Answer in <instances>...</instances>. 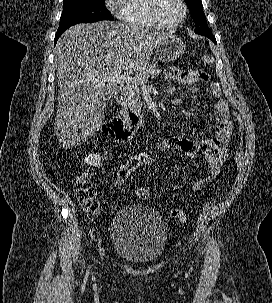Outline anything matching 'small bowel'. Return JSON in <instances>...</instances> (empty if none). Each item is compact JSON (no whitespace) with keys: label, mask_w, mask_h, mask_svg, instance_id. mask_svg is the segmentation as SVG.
<instances>
[{"label":"small bowel","mask_w":272,"mask_h":303,"mask_svg":"<svg viewBox=\"0 0 272 303\" xmlns=\"http://www.w3.org/2000/svg\"><path fill=\"white\" fill-rule=\"evenodd\" d=\"M165 77L186 85L207 81L209 78L204 72L176 68H168L165 71ZM209 89L213 97L219 98L213 109V135L204 139H190L173 135L164 139L159 145L161 152L177 150L189 157H202L209 165L206 175L189 183L176 182L174 184L176 189L190 187L193 190H201L207 183L212 182L219 176L228 155V147L231 144L233 133L230 109L228 103L221 99L222 90L218 83L210 82ZM175 169L178 170L179 167L175 166Z\"/></svg>","instance_id":"1"}]
</instances>
